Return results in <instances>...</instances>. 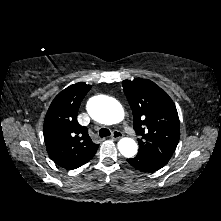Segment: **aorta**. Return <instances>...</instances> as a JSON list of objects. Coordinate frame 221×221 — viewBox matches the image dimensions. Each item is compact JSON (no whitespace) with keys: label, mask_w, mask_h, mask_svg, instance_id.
<instances>
[{"label":"aorta","mask_w":221,"mask_h":221,"mask_svg":"<svg viewBox=\"0 0 221 221\" xmlns=\"http://www.w3.org/2000/svg\"><path fill=\"white\" fill-rule=\"evenodd\" d=\"M87 111L94 120L107 125L116 124L124 117L120 103L103 95L92 97L87 104ZM118 149L123 156L130 158L137 153L138 145L132 138H122L118 142Z\"/></svg>","instance_id":"obj_1"}]
</instances>
